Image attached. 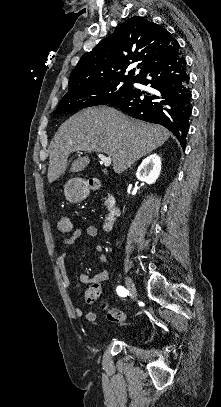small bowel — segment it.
Segmentation results:
<instances>
[{"label": "small bowel", "mask_w": 221, "mask_h": 407, "mask_svg": "<svg viewBox=\"0 0 221 407\" xmlns=\"http://www.w3.org/2000/svg\"><path fill=\"white\" fill-rule=\"evenodd\" d=\"M85 232L91 238H97L99 236L97 228L93 225L87 226L85 229ZM82 233H83L82 228L76 227L72 230V232L69 236L61 238L58 243L56 264L58 267V272L60 274L61 281H62L63 285L66 287L70 286V279L67 274L65 259H66V257H68L71 254L69 247L71 245L75 244L80 239ZM96 249H97V251L100 252V257H99L100 260L105 261L106 257L102 253V247L97 246ZM108 278H109L108 270H101V271L95 273L93 276H89L87 273H84V272L79 275V280L81 283L88 284V285H91L92 283L98 284L99 285V294H100V283H102L103 281H106ZM87 291L85 292V301H86ZM74 311L78 317H84L88 321L96 320V314L94 312L84 313L83 308L80 306H76L74 308Z\"/></svg>", "instance_id": "obj_1"}]
</instances>
